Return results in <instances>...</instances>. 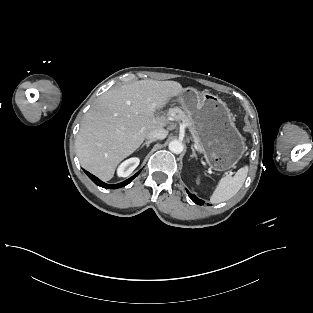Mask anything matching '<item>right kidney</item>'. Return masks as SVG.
<instances>
[{
	"label": "right kidney",
	"instance_id": "ca27d5eb",
	"mask_svg": "<svg viewBox=\"0 0 313 313\" xmlns=\"http://www.w3.org/2000/svg\"><path fill=\"white\" fill-rule=\"evenodd\" d=\"M139 158L133 157L130 159H127L117 169V174L119 177H127L129 176L139 165Z\"/></svg>",
	"mask_w": 313,
	"mask_h": 313
}]
</instances>
